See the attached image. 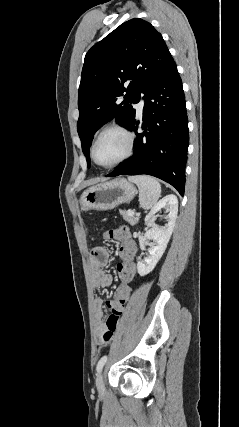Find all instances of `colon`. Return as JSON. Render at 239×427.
<instances>
[{
	"label": "colon",
	"instance_id": "1",
	"mask_svg": "<svg viewBox=\"0 0 239 427\" xmlns=\"http://www.w3.org/2000/svg\"><path fill=\"white\" fill-rule=\"evenodd\" d=\"M125 222H120L114 230H110L105 234L109 239L110 244H118L117 252L120 262L116 263V282L113 290V296L106 297V304L109 305L111 314L106 320V329L102 335L104 342H109L119 325V316L126 301L124 298H129L133 290L135 276H137L138 263L136 241L132 237L134 230H128Z\"/></svg>",
	"mask_w": 239,
	"mask_h": 427
}]
</instances>
